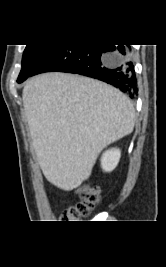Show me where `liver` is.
<instances>
[{
  "label": "liver",
  "mask_w": 166,
  "mask_h": 267,
  "mask_svg": "<svg viewBox=\"0 0 166 267\" xmlns=\"http://www.w3.org/2000/svg\"><path fill=\"white\" fill-rule=\"evenodd\" d=\"M22 98L41 170L64 191L87 180L100 152L134 129L130 100L94 79L45 73L26 83Z\"/></svg>",
  "instance_id": "liver-1"
}]
</instances>
